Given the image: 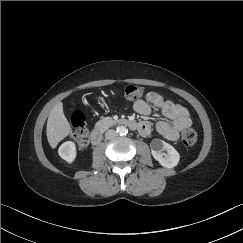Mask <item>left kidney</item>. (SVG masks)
Here are the masks:
<instances>
[{"label": "left kidney", "instance_id": "obj_1", "mask_svg": "<svg viewBox=\"0 0 243 243\" xmlns=\"http://www.w3.org/2000/svg\"><path fill=\"white\" fill-rule=\"evenodd\" d=\"M150 147L153 158L157 160L161 166L173 168L178 164L180 155L170 144L160 139H154ZM163 151H166V153Z\"/></svg>", "mask_w": 243, "mask_h": 243}]
</instances>
